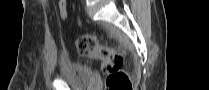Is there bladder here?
I'll return each mask as SVG.
<instances>
[{
  "mask_svg": "<svg viewBox=\"0 0 209 90\" xmlns=\"http://www.w3.org/2000/svg\"><path fill=\"white\" fill-rule=\"evenodd\" d=\"M59 77L72 87L89 90L96 87L92 70L84 63L72 61L62 55L59 60Z\"/></svg>",
  "mask_w": 209,
  "mask_h": 90,
  "instance_id": "1",
  "label": "bladder"
}]
</instances>
